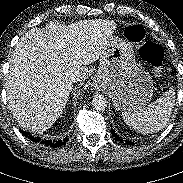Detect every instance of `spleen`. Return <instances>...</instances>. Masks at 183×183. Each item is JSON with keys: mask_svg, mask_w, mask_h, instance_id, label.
Returning <instances> with one entry per match:
<instances>
[{"mask_svg": "<svg viewBox=\"0 0 183 183\" xmlns=\"http://www.w3.org/2000/svg\"><path fill=\"white\" fill-rule=\"evenodd\" d=\"M174 104L175 91L170 88L146 108L134 113L124 111L122 117L124 122L135 131L143 134L155 133L168 123Z\"/></svg>", "mask_w": 183, "mask_h": 183, "instance_id": "spleen-1", "label": "spleen"}]
</instances>
